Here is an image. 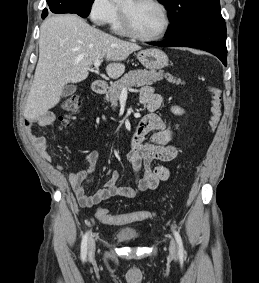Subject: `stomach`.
Returning <instances> with one entry per match:
<instances>
[{
	"label": "stomach",
	"instance_id": "stomach-1",
	"mask_svg": "<svg viewBox=\"0 0 259 283\" xmlns=\"http://www.w3.org/2000/svg\"><path fill=\"white\" fill-rule=\"evenodd\" d=\"M141 64L150 70L162 69L168 64L167 55L160 49L149 48L137 53Z\"/></svg>",
	"mask_w": 259,
	"mask_h": 283
}]
</instances>
